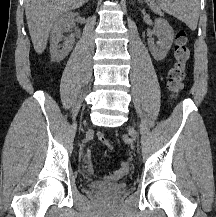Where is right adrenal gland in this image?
Listing matches in <instances>:
<instances>
[{
    "label": "right adrenal gland",
    "instance_id": "right-adrenal-gland-1",
    "mask_svg": "<svg viewBox=\"0 0 216 217\" xmlns=\"http://www.w3.org/2000/svg\"><path fill=\"white\" fill-rule=\"evenodd\" d=\"M89 0H85V3H87Z\"/></svg>",
    "mask_w": 216,
    "mask_h": 217
}]
</instances>
